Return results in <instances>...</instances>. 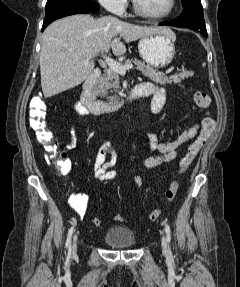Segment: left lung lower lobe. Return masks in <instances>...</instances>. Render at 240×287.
<instances>
[{"instance_id":"left-lung-lower-lobe-1","label":"left lung lower lobe","mask_w":240,"mask_h":287,"mask_svg":"<svg viewBox=\"0 0 240 287\" xmlns=\"http://www.w3.org/2000/svg\"><path fill=\"white\" fill-rule=\"evenodd\" d=\"M181 15L172 21L162 22L159 25H169L181 28H190L200 31L202 35L207 37V30L203 17V7L200 0H193L183 5Z\"/></svg>"}]
</instances>
